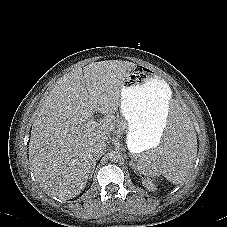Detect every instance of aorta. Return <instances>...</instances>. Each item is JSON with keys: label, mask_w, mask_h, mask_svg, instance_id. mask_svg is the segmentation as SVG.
<instances>
[{"label": "aorta", "mask_w": 227, "mask_h": 227, "mask_svg": "<svg viewBox=\"0 0 227 227\" xmlns=\"http://www.w3.org/2000/svg\"><path fill=\"white\" fill-rule=\"evenodd\" d=\"M109 157L112 162H118L121 159V154L118 151H113Z\"/></svg>", "instance_id": "762f6f07"}]
</instances>
